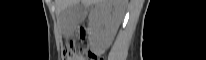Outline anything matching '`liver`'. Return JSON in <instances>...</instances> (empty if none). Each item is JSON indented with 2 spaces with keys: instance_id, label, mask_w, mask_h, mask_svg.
Wrapping results in <instances>:
<instances>
[{
  "instance_id": "obj_1",
  "label": "liver",
  "mask_w": 206,
  "mask_h": 60,
  "mask_svg": "<svg viewBox=\"0 0 206 60\" xmlns=\"http://www.w3.org/2000/svg\"><path fill=\"white\" fill-rule=\"evenodd\" d=\"M79 2L84 6H90L93 4H111L110 0H55V5L58 14L66 7ZM127 0H115L114 1V10L112 13V37L116 34L118 27L123 19Z\"/></svg>"
}]
</instances>
